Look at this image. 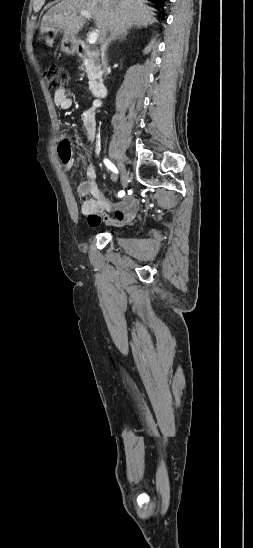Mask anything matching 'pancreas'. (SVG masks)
<instances>
[{
  "label": "pancreas",
  "instance_id": "1",
  "mask_svg": "<svg viewBox=\"0 0 253 548\" xmlns=\"http://www.w3.org/2000/svg\"><path fill=\"white\" fill-rule=\"evenodd\" d=\"M85 71L89 79V89L95 90L101 81V67L97 59L87 57L83 60Z\"/></svg>",
  "mask_w": 253,
  "mask_h": 548
}]
</instances>
